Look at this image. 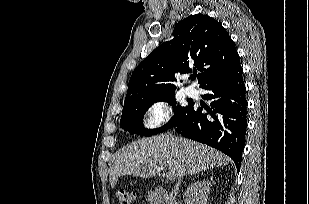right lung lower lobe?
Returning a JSON list of instances; mask_svg holds the SVG:
<instances>
[{"mask_svg":"<svg viewBox=\"0 0 309 204\" xmlns=\"http://www.w3.org/2000/svg\"><path fill=\"white\" fill-rule=\"evenodd\" d=\"M211 108L191 104L176 131L186 138L207 144L228 155L240 167L247 129V99L243 69L239 65L232 72L205 84Z\"/></svg>","mask_w":309,"mask_h":204,"instance_id":"1","label":"right lung lower lobe"}]
</instances>
